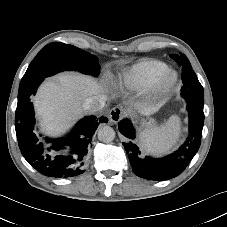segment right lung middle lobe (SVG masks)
<instances>
[{
  "label": "right lung middle lobe",
  "mask_w": 227,
  "mask_h": 227,
  "mask_svg": "<svg viewBox=\"0 0 227 227\" xmlns=\"http://www.w3.org/2000/svg\"><path fill=\"white\" fill-rule=\"evenodd\" d=\"M98 58L75 46L63 43L46 45L34 58L23 76L19 89L64 70H76L97 76Z\"/></svg>",
  "instance_id": "right-lung-middle-lobe-1"
}]
</instances>
